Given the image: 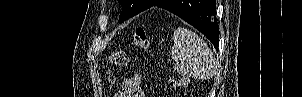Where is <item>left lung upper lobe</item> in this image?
Segmentation results:
<instances>
[{"instance_id": "5c2ea615", "label": "left lung upper lobe", "mask_w": 302, "mask_h": 97, "mask_svg": "<svg viewBox=\"0 0 302 97\" xmlns=\"http://www.w3.org/2000/svg\"><path fill=\"white\" fill-rule=\"evenodd\" d=\"M155 0H118L122 6V12L119 22H123L128 18L150 8Z\"/></svg>"}]
</instances>
